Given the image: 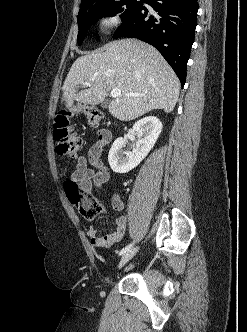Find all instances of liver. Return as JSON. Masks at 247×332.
Returning <instances> with one entry per match:
<instances>
[{"label": "liver", "mask_w": 247, "mask_h": 332, "mask_svg": "<svg viewBox=\"0 0 247 332\" xmlns=\"http://www.w3.org/2000/svg\"><path fill=\"white\" fill-rule=\"evenodd\" d=\"M84 82H90V86L78 91ZM109 89L122 93L109 103L110 114L120 121H130L154 109L173 111L180 81L155 48L137 39H122L107 43L102 51L77 58L65 79L62 96L66 108H71L74 101L97 105Z\"/></svg>", "instance_id": "liver-1"}]
</instances>
